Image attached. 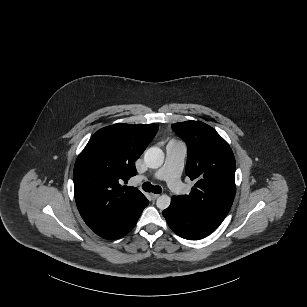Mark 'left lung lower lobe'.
<instances>
[{"label":"left lung lower lobe","instance_id":"1","mask_svg":"<svg viewBox=\"0 0 307 307\" xmlns=\"http://www.w3.org/2000/svg\"><path fill=\"white\" fill-rule=\"evenodd\" d=\"M163 215L177 235L189 240L202 239L217 228L189 212L175 196L171 198V204L163 211Z\"/></svg>","mask_w":307,"mask_h":307}]
</instances>
